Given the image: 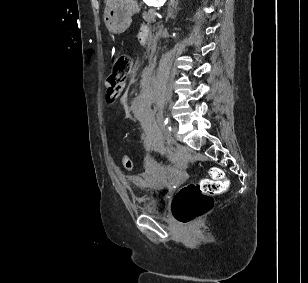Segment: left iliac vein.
I'll return each mask as SVG.
<instances>
[{
  "label": "left iliac vein",
  "instance_id": "obj_1",
  "mask_svg": "<svg viewBox=\"0 0 308 283\" xmlns=\"http://www.w3.org/2000/svg\"><path fill=\"white\" fill-rule=\"evenodd\" d=\"M178 128L176 126L172 127L171 133L167 136V140L169 143L174 142V139L177 138Z\"/></svg>",
  "mask_w": 308,
  "mask_h": 283
}]
</instances>
